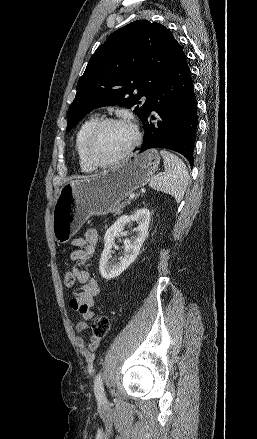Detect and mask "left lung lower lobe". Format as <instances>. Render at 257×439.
Returning <instances> with one entry per match:
<instances>
[{
	"label": "left lung lower lobe",
	"instance_id": "obj_1",
	"mask_svg": "<svg viewBox=\"0 0 257 439\" xmlns=\"http://www.w3.org/2000/svg\"><path fill=\"white\" fill-rule=\"evenodd\" d=\"M185 54L177 45L173 59L154 89L150 109L142 121L141 151L165 148L179 152L193 164L197 135V103Z\"/></svg>",
	"mask_w": 257,
	"mask_h": 439
}]
</instances>
